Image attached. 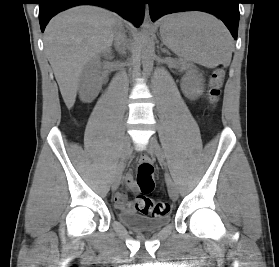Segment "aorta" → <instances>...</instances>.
Masks as SVG:
<instances>
[{
	"label": "aorta",
	"instance_id": "aorta-1",
	"mask_svg": "<svg viewBox=\"0 0 279 267\" xmlns=\"http://www.w3.org/2000/svg\"><path fill=\"white\" fill-rule=\"evenodd\" d=\"M141 32H142V45H143V49H142L143 71L146 74H150L153 69L154 43L151 38V26L147 14H145Z\"/></svg>",
	"mask_w": 279,
	"mask_h": 267
}]
</instances>
